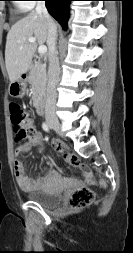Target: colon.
Segmentation results:
<instances>
[{"mask_svg": "<svg viewBox=\"0 0 133 253\" xmlns=\"http://www.w3.org/2000/svg\"><path fill=\"white\" fill-rule=\"evenodd\" d=\"M10 118L14 127L15 140L17 142L28 140L33 136L35 129L31 123L29 114L16 102L10 104ZM55 147L59 152H62V147L59 144H56ZM64 158L73 166H78L80 164L76 155L64 153ZM101 184L103 185L104 182L101 181ZM94 199V192L84 187L74 192L69 198L68 203L73 209H81L92 204Z\"/></svg>", "mask_w": 133, "mask_h": 253, "instance_id": "1", "label": "colon"}]
</instances>
